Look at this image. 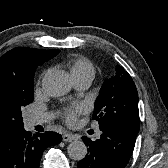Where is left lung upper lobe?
I'll use <instances>...</instances> for the list:
<instances>
[{"label": "left lung upper lobe", "mask_w": 168, "mask_h": 168, "mask_svg": "<svg viewBox=\"0 0 168 168\" xmlns=\"http://www.w3.org/2000/svg\"><path fill=\"white\" fill-rule=\"evenodd\" d=\"M93 119L99 122L100 128L119 126L138 133V93L131 76L120 65L116 66L115 75L103 83Z\"/></svg>", "instance_id": "left-lung-upper-lobe-1"}]
</instances>
